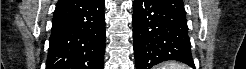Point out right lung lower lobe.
Instances as JSON below:
<instances>
[{
  "label": "right lung lower lobe",
  "mask_w": 246,
  "mask_h": 69,
  "mask_svg": "<svg viewBox=\"0 0 246 69\" xmlns=\"http://www.w3.org/2000/svg\"><path fill=\"white\" fill-rule=\"evenodd\" d=\"M46 69H103L104 0H59Z\"/></svg>",
  "instance_id": "1"
}]
</instances>
